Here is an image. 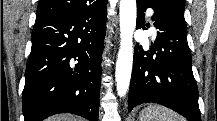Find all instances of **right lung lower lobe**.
I'll return each mask as SVG.
<instances>
[{
  "label": "right lung lower lobe",
  "instance_id": "right-lung-lower-lobe-1",
  "mask_svg": "<svg viewBox=\"0 0 217 121\" xmlns=\"http://www.w3.org/2000/svg\"><path fill=\"white\" fill-rule=\"evenodd\" d=\"M107 0L35 22L22 95L24 121L73 113L98 121Z\"/></svg>",
  "mask_w": 217,
  "mask_h": 121
}]
</instances>
